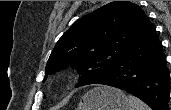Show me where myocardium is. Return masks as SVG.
Wrapping results in <instances>:
<instances>
[{
    "label": "myocardium",
    "mask_w": 171,
    "mask_h": 110,
    "mask_svg": "<svg viewBox=\"0 0 171 110\" xmlns=\"http://www.w3.org/2000/svg\"><path fill=\"white\" fill-rule=\"evenodd\" d=\"M60 87H63V84L62 83L60 84Z\"/></svg>",
    "instance_id": "myocardium-1"
}]
</instances>
